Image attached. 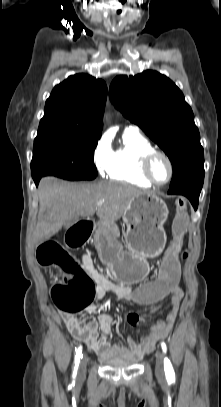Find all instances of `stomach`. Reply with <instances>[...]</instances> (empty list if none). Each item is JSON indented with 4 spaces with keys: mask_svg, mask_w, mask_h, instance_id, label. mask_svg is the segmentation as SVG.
Instances as JSON below:
<instances>
[{
    "mask_svg": "<svg viewBox=\"0 0 221 407\" xmlns=\"http://www.w3.org/2000/svg\"><path fill=\"white\" fill-rule=\"evenodd\" d=\"M169 210L158 196L144 193L133 197L123 214L127 226L125 233L126 250H113L111 268L122 283L134 284L147 274V258L159 256L166 243L163 225ZM106 229L109 224L102 225Z\"/></svg>",
    "mask_w": 221,
    "mask_h": 407,
    "instance_id": "obj_1",
    "label": "stomach"
}]
</instances>
